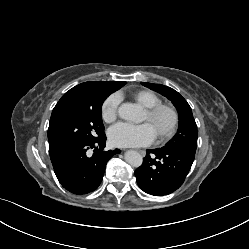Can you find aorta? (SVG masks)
Here are the masks:
<instances>
[{"label":"aorta","mask_w":249,"mask_h":249,"mask_svg":"<svg viewBox=\"0 0 249 249\" xmlns=\"http://www.w3.org/2000/svg\"><path fill=\"white\" fill-rule=\"evenodd\" d=\"M139 113V109L136 105L130 103H124L118 108V115L128 121L136 120ZM125 161L132 167H139L142 165V156L134 151L130 150L125 153Z\"/></svg>","instance_id":"1"}]
</instances>
